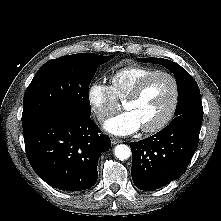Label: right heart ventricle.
Wrapping results in <instances>:
<instances>
[{
	"mask_svg": "<svg viewBox=\"0 0 221 221\" xmlns=\"http://www.w3.org/2000/svg\"><path fill=\"white\" fill-rule=\"evenodd\" d=\"M157 70L142 65H127L115 70L109 77L110 89L116 99L124 100L135 85Z\"/></svg>",
	"mask_w": 221,
	"mask_h": 221,
	"instance_id": "1",
	"label": "right heart ventricle"
}]
</instances>
